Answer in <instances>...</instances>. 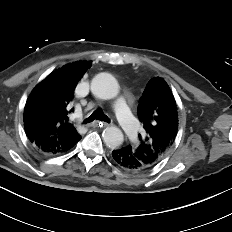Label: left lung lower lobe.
<instances>
[{
  "label": "left lung lower lobe",
  "mask_w": 232,
  "mask_h": 232,
  "mask_svg": "<svg viewBox=\"0 0 232 232\" xmlns=\"http://www.w3.org/2000/svg\"><path fill=\"white\" fill-rule=\"evenodd\" d=\"M113 161L122 169L131 172H141L147 170L144 163L134 154L130 145L118 148L112 152Z\"/></svg>",
  "instance_id": "0a47b994"
}]
</instances>
